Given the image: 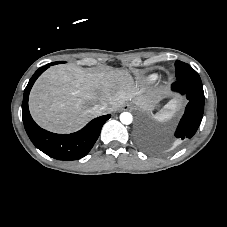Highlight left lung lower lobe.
<instances>
[{
    "mask_svg": "<svg viewBox=\"0 0 227 227\" xmlns=\"http://www.w3.org/2000/svg\"><path fill=\"white\" fill-rule=\"evenodd\" d=\"M172 90L185 95L189 100L175 136L179 140L193 137L202 120L204 111V94L202 82L177 80L172 84Z\"/></svg>",
    "mask_w": 227,
    "mask_h": 227,
    "instance_id": "0a47b994",
    "label": "left lung lower lobe"
}]
</instances>
